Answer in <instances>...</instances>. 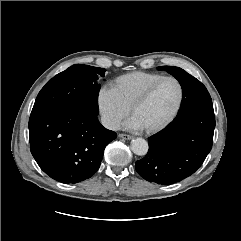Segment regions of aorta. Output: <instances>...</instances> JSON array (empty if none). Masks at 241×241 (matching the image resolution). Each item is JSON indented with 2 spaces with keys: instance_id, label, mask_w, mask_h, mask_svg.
<instances>
[{
  "instance_id": "obj_1",
  "label": "aorta",
  "mask_w": 241,
  "mask_h": 241,
  "mask_svg": "<svg viewBox=\"0 0 241 241\" xmlns=\"http://www.w3.org/2000/svg\"><path fill=\"white\" fill-rule=\"evenodd\" d=\"M148 148V143L143 138H136L131 141V149L138 156L146 155Z\"/></svg>"
}]
</instances>
